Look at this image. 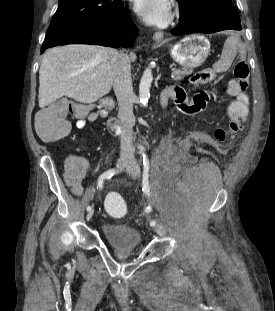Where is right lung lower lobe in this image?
I'll use <instances>...</instances> for the list:
<instances>
[{
    "instance_id": "right-lung-lower-lobe-1",
    "label": "right lung lower lobe",
    "mask_w": 275,
    "mask_h": 311,
    "mask_svg": "<svg viewBox=\"0 0 275 311\" xmlns=\"http://www.w3.org/2000/svg\"><path fill=\"white\" fill-rule=\"evenodd\" d=\"M136 25L126 14L123 6L97 17L59 24L49 29L41 48L64 44H97L109 47L132 45Z\"/></svg>"
}]
</instances>
